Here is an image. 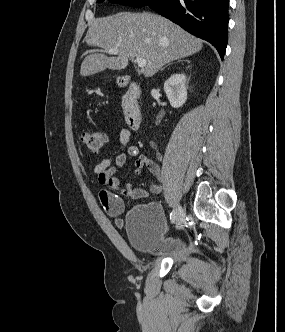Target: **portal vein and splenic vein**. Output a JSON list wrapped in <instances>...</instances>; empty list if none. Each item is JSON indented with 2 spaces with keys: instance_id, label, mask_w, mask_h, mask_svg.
Listing matches in <instances>:
<instances>
[{
  "instance_id": "1",
  "label": "portal vein and splenic vein",
  "mask_w": 285,
  "mask_h": 332,
  "mask_svg": "<svg viewBox=\"0 0 285 332\" xmlns=\"http://www.w3.org/2000/svg\"><path fill=\"white\" fill-rule=\"evenodd\" d=\"M108 52L113 55H117L119 53L118 50L115 48H110L108 50ZM136 62H137L138 67H140V68H144L147 64V61L141 57H136Z\"/></svg>"
}]
</instances>
